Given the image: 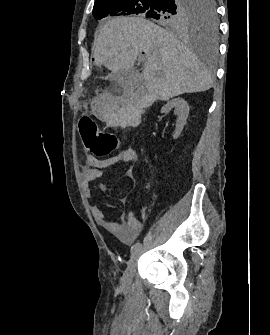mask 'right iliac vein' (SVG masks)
Instances as JSON below:
<instances>
[{
  "mask_svg": "<svg viewBox=\"0 0 270 335\" xmlns=\"http://www.w3.org/2000/svg\"><path fill=\"white\" fill-rule=\"evenodd\" d=\"M142 251H143V247L141 246L137 251H135L132 254V256H131V258L128 262L127 268L124 271L122 280H121L122 287L126 288L130 284V281L132 279V276H133V273H134V270H135L137 260H138L139 256L141 255Z\"/></svg>",
  "mask_w": 270,
  "mask_h": 335,
  "instance_id": "obj_1",
  "label": "right iliac vein"
}]
</instances>
